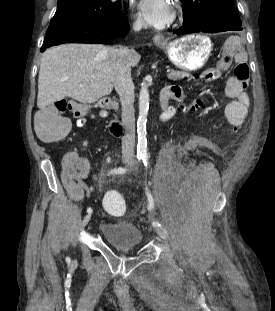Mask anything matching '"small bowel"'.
Instances as JSON below:
<instances>
[{"label": "small bowel", "instance_id": "small-bowel-1", "mask_svg": "<svg viewBox=\"0 0 275 311\" xmlns=\"http://www.w3.org/2000/svg\"><path fill=\"white\" fill-rule=\"evenodd\" d=\"M225 45L221 60H214V67H219L220 69L231 67V61L233 59L237 63L246 62V56L243 52L244 49L240 39L230 37L227 39ZM201 74L205 80H213L217 77L218 71L214 69H202ZM160 97H167L168 102L169 100H175L183 103L185 100L184 91L179 86H168L164 88ZM196 97H199V94H196ZM225 98L228 100L225 107V116L232 127L231 131L235 132L243 124L249 106V97L245 92V86L235 75L227 81ZM168 102L162 106L163 114L161 119L163 121L171 119L176 112V109L168 105ZM202 105L203 100L198 98L195 102L187 106L186 109L190 110V112H199ZM83 110V107H79L75 111V113L79 114L76 120L77 127H84L87 123V119L83 115ZM97 115L101 118L108 117V113L101 110L98 114H91L90 118L95 119ZM214 137L219 142H222L223 139H226L227 134L226 132H215ZM83 145L86 147L88 141L84 140ZM61 155L63 160H61L60 165L64 169H59L58 174L64 180V185L69 195L75 200H81L84 196V185L78 180H85L88 177L89 164L83 159V155H78V150H62Z\"/></svg>", "mask_w": 275, "mask_h": 311}]
</instances>
